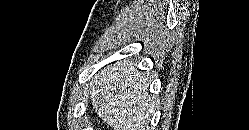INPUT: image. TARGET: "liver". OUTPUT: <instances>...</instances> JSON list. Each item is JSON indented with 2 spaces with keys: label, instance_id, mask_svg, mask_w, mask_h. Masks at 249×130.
<instances>
[{
  "label": "liver",
  "instance_id": "obj_1",
  "mask_svg": "<svg viewBox=\"0 0 249 130\" xmlns=\"http://www.w3.org/2000/svg\"><path fill=\"white\" fill-rule=\"evenodd\" d=\"M148 86L132 62L108 65L90 82L93 107L114 130H146L155 107Z\"/></svg>",
  "mask_w": 249,
  "mask_h": 130
}]
</instances>
